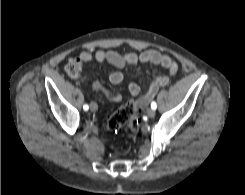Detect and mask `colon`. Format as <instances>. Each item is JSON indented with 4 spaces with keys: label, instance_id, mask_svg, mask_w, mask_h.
Returning a JSON list of instances; mask_svg holds the SVG:
<instances>
[{
    "label": "colon",
    "instance_id": "colon-1",
    "mask_svg": "<svg viewBox=\"0 0 245 195\" xmlns=\"http://www.w3.org/2000/svg\"><path fill=\"white\" fill-rule=\"evenodd\" d=\"M66 72L72 78L82 76V66L79 60H71L66 65ZM141 109L134 101H130L120 107L105 120V127L110 131H118L125 128L128 132H135L139 126Z\"/></svg>",
    "mask_w": 245,
    "mask_h": 195
}]
</instances>
